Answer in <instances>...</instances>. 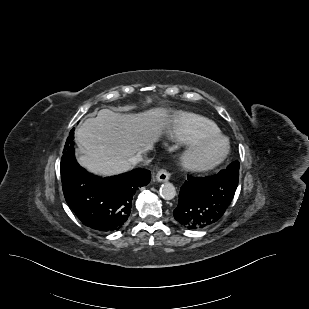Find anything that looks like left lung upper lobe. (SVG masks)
<instances>
[{
    "label": "left lung upper lobe",
    "instance_id": "left-lung-upper-lobe-1",
    "mask_svg": "<svg viewBox=\"0 0 309 309\" xmlns=\"http://www.w3.org/2000/svg\"><path fill=\"white\" fill-rule=\"evenodd\" d=\"M226 170L239 177V163H238V161L232 162L229 166H227Z\"/></svg>",
    "mask_w": 309,
    "mask_h": 309
}]
</instances>
